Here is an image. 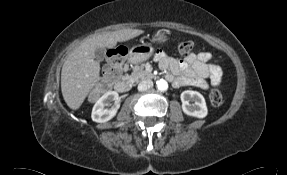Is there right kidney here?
Wrapping results in <instances>:
<instances>
[{"mask_svg": "<svg viewBox=\"0 0 287 175\" xmlns=\"http://www.w3.org/2000/svg\"><path fill=\"white\" fill-rule=\"evenodd\" d=\"M114 102L111 104V102ZM120 97L116 91H108L100 97L92 109L91 118L98 123H104L112 119L120 107Z\"/></svg>", "mask_w": 287, "mask_h": 175, "instance_id": "obj_1", "label": "right kidney"}]
</instances>
